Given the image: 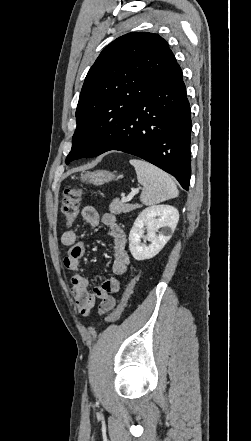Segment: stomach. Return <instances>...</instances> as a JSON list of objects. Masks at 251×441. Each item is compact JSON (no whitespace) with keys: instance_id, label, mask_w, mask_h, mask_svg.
<instances>
[{"instance_id":"0dacf381","label":"stomach","mask_w":251,"mask_h":441,"mask_svg":"<svg viewBox=\"0 0 251 441\" xmlns=\"http://www.w3.org/2000/svg\"><path fill=\"white\" fill-rule=\"evenodd\" d=\"M121 177H122L121 175L116 176L114 173L106 170H97L82 174L81 180L99 186L108 183L110 181L117 180Z\"/></svg>"}]
</instances>
